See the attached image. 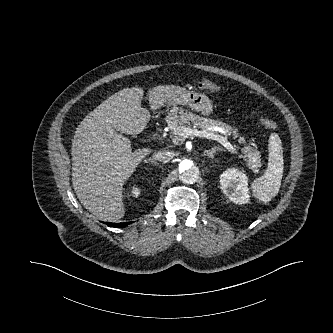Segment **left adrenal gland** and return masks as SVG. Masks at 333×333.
Returning a JSON list of instances; mask_svg holds the SVG:
<instances>
[{"mask_svg": "<svg viewBox=\"0 0 333 333\" xmlns=\"http://www.w3.org/2000/svg\"><path fill=\"white\" fill-rule=\"evenodd\" d=\"M218 150H222V149L219 148V147H214V148H212V149L207 153V156H208L209 158L213 159L214 154H215L216 151H218Z\"/></svg>", "mask_w": 333, "mask_h": 333, "instance_id": "left-adrenal-gland-1", "label": "left adrenal gland"}]
</instances>
